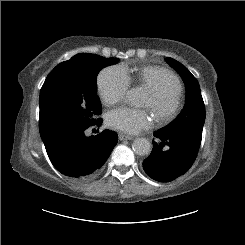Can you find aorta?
<instances>
[{
	"instance_id": "aorta-1",
	"label": "aorta",
	"mask_w": 245,
	"mask_h": 245,
	"mask_svg": "<svg viewBox=\"0 0 245 245\" xmlns=\"http://www.w3.org/2000/svg\"><path fill=\"white\" fill-rule=\"evenodd\" d=\"M127 101L136 107L143 104V95L138 89H131L126 94ZM132 149L139 156L149 155L151 152V143L146 138H137L132 144Z\"/></svg>"
}]
</instances>
